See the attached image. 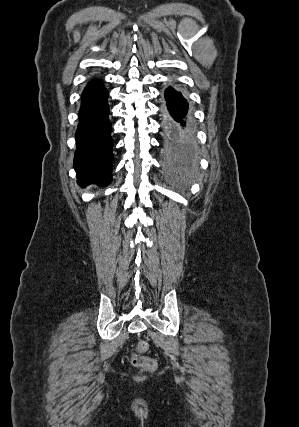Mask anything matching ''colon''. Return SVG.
<instances>
[{
    "label": "colon",
    "instance_id": "1",
    "mask_svg": "<svg viewBox=\"0 0 299 427\" xmlns=\"http://www.w3.org/2000/svg\"><path fill=\"white\" fill-rule=\"evenodd\" d=\"M149 345L146 341H139L135 347V352L130 356V363L137 368L144 371H154L157 367L155 359L144 356L142 353L147 351Z\"/></svg>",
    "mask_w": 299,
    "mask_h": 427
}]
</instances>
